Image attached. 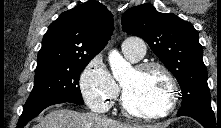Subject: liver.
Returning a JSON list of instances; mask_svg holds the SVG:
<instances>
[{"mask_svg": "<svg viewBox=\"0 0 221 128\" xmlns=\"http://www.w3.org/2000/svg\"><path fill=\"white\" fill-rule=\"evenodd\" d=\"M33 128H166V125L120 123L94 112L79 113L70 109H56Z\"/></svg>", "mask_w": 221, "mask_h": 128, "instance_id": "6515ba94", "label": "liver"}]
</instances>
